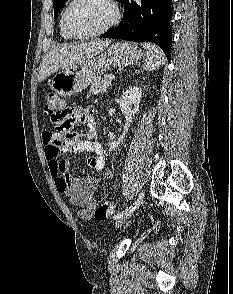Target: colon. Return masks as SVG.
Returning a JSON list of instances; mask_svg holds the SVG:
<instances>
[{"instance_id":"colon-1","label":"colon","mask_w":233,"mask_h":294,"mask_svg":"<svg viewBox=\"0 0 233 294\" xmlns=\"http://www.w3.org/2000/svg\"><path fill=\"white\" fill-rule=\"evenodd\" d=\"M65 108L62 106L60 100L55 93H47L44 98L43 114L48 118L53 114V110H61ZM115 210V203L112 200L103 202L94 213V217L98 221L105 220Z\"/></svg>"}]
</instances>
